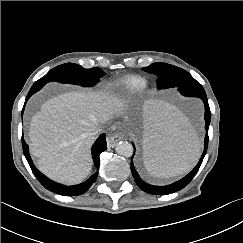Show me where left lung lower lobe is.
Wrapping results in <instances>:
<instances>
[{
  "label": "left lung lower lobe",
  "instance_id": "left-lung-lower-lobe-1",
  "mask_svg": "<svg viewBox=\"0 0 243 243\" xmlns=\"http://www.w3.org/2000/svg\"><path fill=\"white\" fill-rule=\"evenodd\" d=\"M180 91V93L184 96L187 97H199L203 100L204 105H205V129H206V136H205V142H204V151L202 153V156L198 162V164L195 166V168L187 175L185 176L183 179L172 183L170 185H166V186H154V185H150L145 183L138 175L137 171L134 168L133 162H131V171L133 174V177L135 179L136 184L145 192L149 193V194H159V195H167L173 192H176L182 188H184L186 185H188L190 183V181L193 179V177L196 175V173L198 172L200 165L204 159V156L206 154L207 151V146H208V128H209V124H210V120H211V112H210V108H209V104H208V100H207V96H206V92L204 90V88L202 87L201 84H196V85H192V86H188V87H183L181 89H178ZM134 146V145H133ZM135 148V147H134Z\"/></svg>",
  "mask_w": 243,
  "mask_h": 243
}]
</instances>
